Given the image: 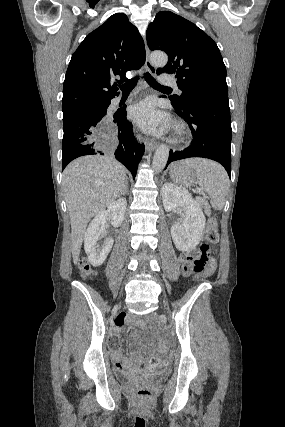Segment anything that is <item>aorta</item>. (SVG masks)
I'll return each mask as SVG.
<instances>
[{
  "label": "aorta",
  "instance_id": "762f6f07",
  "mask_svg": "<svg viewBox=\"0 0 285 427\" xmlns=\"http://www.w3.org/2000/svg\"><path fill=\"white\" fill-rule=\"evenodd\" d=\"M150 60L156 67H163L167 64L168 57L163 52H153L150 56ZM169 157V148L165 144H161L155 151L152 166L156 172L163 170L167 164Z\"/></svg>",
  "mask_w": 285,
  "mask_h": 427
}]
</instances>
